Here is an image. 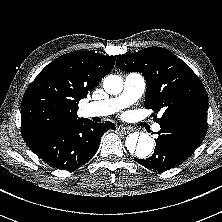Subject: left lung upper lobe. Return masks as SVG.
Wrapping results in <instances>:
<instances>
[{
  "label": "left lung upper lobe",
  "mask_w": 222,
  "mask_h": 222,
  "mask_svg": "<svg viewBox=\"0 0 222 222\" xmlns=\"http://www.w3.org/2000/svg\"><path fill=\"white\" fill-rule=\"evenodd\" d=\"M117 66L126 72H141L146 79L144 106L155 113V121L193 120L207 124L208 96L193 70L172 52L149 47L117 57Z\"/></svg>",
  "instance_id": "1"
}]
</instances>
